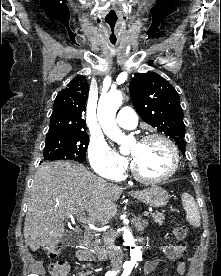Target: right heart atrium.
Returning <instances> with one entry per match:
<instances>
[{
    "label": "right heart atrium",
    "mask_w": 221,
    "mask_h": 276,
    "mask_svg": "<svg viewBox=\"0 0 221 276\" xmlns=\"http://www.w3.org/2000/svg\"><path fill=\"white\" fill-rule=\"evenodd\" d=\"M88 158L92 169L100 176L117 180L127 168V161L103 138H92L88 146Z\"/></svg>",
    "instance_id": "1"
}]
</instances>
